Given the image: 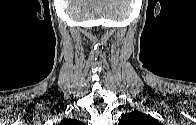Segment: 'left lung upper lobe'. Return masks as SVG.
<instances>
[{
    "mask_svg": "<svg viewBox=\"0 0 196 125\" xmlns=\"http://www.w3.org/2000/svg\"><path fill=\"white\" fill-rule=\"evenodd\" d=\"M119 125H159V122L149 115L134 111L125 114L120 120Z\"/></svg>",
    "mask_w": 196,
    "mask_h": 125,
    "instance_id": "1",
    "label": "left lung upper lobe"
}]
</instances>
